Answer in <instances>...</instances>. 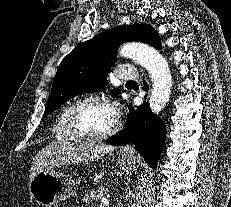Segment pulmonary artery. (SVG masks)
<instances>
[{
  "label": "pulmonary artery",
  "mask_w": 231,
  "mask_h": 207,
  "mask_svg": "<svg viewBox=\"0 0 231 207\" xmlns=\"http://www.w3.org/2000/svg\"><path fill=\"white\" fill-rule=\"evenodd\" d=\"M117 78L121 80H136L138 78V72L132 66L122 65L118 68Z\"/></svg>",
  "instance_id": "1"
}]
</instances>
